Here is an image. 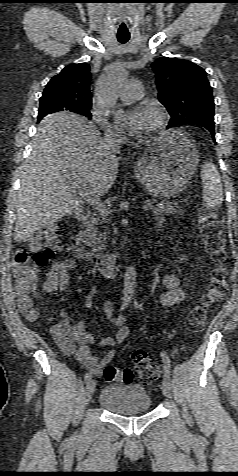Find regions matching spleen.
<instances>
[{
    "instance_id": "obj_1",
    "label": "spleen",
    "mask_w": 238,
    "mask_h": 476,
    "mask_svg": "<svg viewBox=\"0 0 238 476\" xmlns=\"http://www.w3.org/2000/svg\"><path fill=\"white\" fill-rule=\"evenodd\" d=\"M203 201L210 208H216L223 203V188L220 174L216 166L207 162L201 170Z\"/></svg>"
}]
</instances>
